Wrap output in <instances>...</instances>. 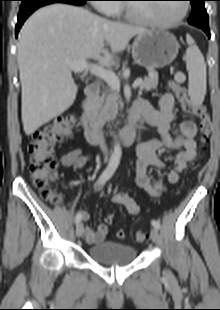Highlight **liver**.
I'll use <instances>...</instances> for the list:
<instances>
[{
	"mask_svg": "<svg viewBox=\"0 0 220 310\" xmlns=\"http://www.w3.org/2000/svg\"><path fill=\"white\" fill-rule=\"evenodd\" d=\"M147 31L66 4L49 5L31 15L21 29L17 54L25 134L34 133L73 104L78 86L72 62L96 59L108 66L133 36Z\"/></svg>",
	"mask_w": 220,
	"mask_h": 310,
	"instance_id": "6515ba94",
	"label": "liver"
}]
</instances>
